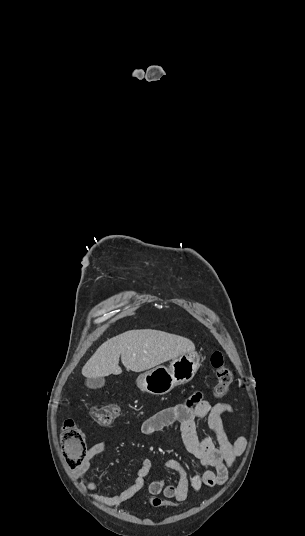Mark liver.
Masks as SVG:
<instances>
[{"label": "liver", "instance_id": "obj_1", "mask_svg": "<svg viewBox=\"0 0 305 536\" xmlns=\"http://www.w3.org/2000/svg\"><path fill=\"white\" fill-rule=\"evenodd\" d=\"M194 350L193 342L182 336L159 330H130L104 342L83 366L82 374L85 378L122 374L120 356L126 370L145 372Z\"/></svg>", "mask_w": 305, "mask_h": 536}]
</instances>
